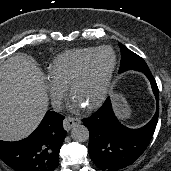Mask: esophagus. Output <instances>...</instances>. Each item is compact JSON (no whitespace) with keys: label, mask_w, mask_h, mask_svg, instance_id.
<instances>
[{"label":"esophagus","mask_w":171,"mask_h":171,"mask_svg":"<svg viewBox=\"0 0 171 171\" xmlns=\"http://www.w3.org/2000/svg\"><path fill=\"white\" fill-rule=\"evenodd\" d=\"M80 123V120L78 118H73V117H66L63 121V127L66 131H69L72 129L74 126Z\"/></svg>","instance_id":"esophagus-1"}]
</instances>
